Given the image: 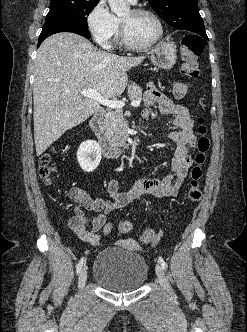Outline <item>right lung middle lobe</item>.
Returning <instances> with one entry per match:
<instances>
[{"mask_svg":"<svg viewBox=\"0 0 247 332\" xmlns=\"http://www.w3.org/2000/svg\"><path fill=\"white\" fill-rule=\"evenodd\" d=\"M99 0H51L46 22L69 21L87 26V16Z\"/></svg>","mask_w":247,"mask_h":332,"instance_id":"right-lung-middle-lobe-1","label":"right lung middle lobe"}]
</instances>
